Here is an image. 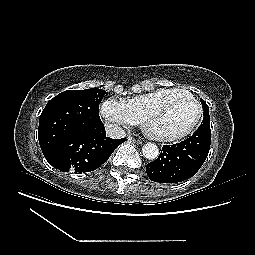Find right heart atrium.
Listing matches in <instances>:
<instances>
[{"label":"right heart atrium","instance_id":"1","mask_svg":"<svg viewBox=\"0 0 255 255\" xmlns=\"http://www.w3.org/2000/svg\"><path fill=\"white\" fill-rule=\"evenodd\" d=\"M101 115L106 124L113 130L134 126L140 122L125 100L114 97L107 98L102 103Z\"/></svg>","mask_w":255,"mask_h":255}]
</instances>
